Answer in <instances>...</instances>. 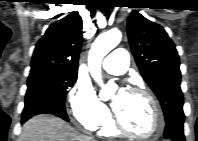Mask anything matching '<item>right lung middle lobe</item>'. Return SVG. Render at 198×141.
Wrapping results in <instances>:
<instances>
[{
	"label": "right lung middle lobe",
	"mask_w": 198,
	"mask_h": 141,
	"mask_svg": "<svg viewBox=\"0 0 198 141\" xmlns=\"http://www.w3.org/2000/svg\"><path fill=\"white\" fill-rule=\"evenodd\" d=\"M77 79L75 72L39 71L29 74L25 105L46 104L65 110L68 87Z\"/></svg>",
	"instance_id": "right-lung-middle-lobe-1"
}]
</instances>
